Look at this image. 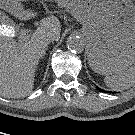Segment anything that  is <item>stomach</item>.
Returning <instances> with one entry per match:
<instances>
[{
	"label": "stomach",
	"instance_id": "stomach-1",
	"mask_svg": "<svg viewBox=\"0 0 135 135\" xmlns=\"http://www.w3.org/2000/svg\"><path fill=\"white\" fill-rule=\"evenodd\" d=\"M21 7L26 0H3ZM68 11L82 26L88 62L99 74L125 71L135 63V6L132 0H49Z\"/></svg>",
	"mask_w": 135,
	"mask_h": 135
}]
</instances>
